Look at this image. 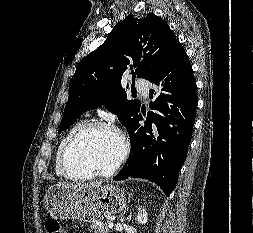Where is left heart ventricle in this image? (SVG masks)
I'll return each mask as SVG.
<instances>
[{"label":"left heart ventricle","mask_w":253,"mask_h":233,"mask_svg":"<svg viewBox=\"0 0 253 233\" xmlns=\"http://www.w3.org/2000/svg\"><path fill=\"white\" fill-rule=\"evenodd\" d=\"M120 152L121 142L114 132L96 130L74 145L68 157L69 168L76 175L107 170L116 162Z\"/></svg>","instance_id":"left-heart-ventricle-1"}]
</instances>
